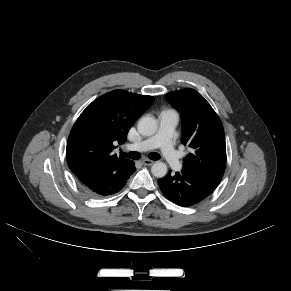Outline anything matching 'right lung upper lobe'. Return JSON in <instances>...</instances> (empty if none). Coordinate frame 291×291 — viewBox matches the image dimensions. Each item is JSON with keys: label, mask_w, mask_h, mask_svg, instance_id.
Listing matches in <instances>:
<instances>
[{"label": "right lung upper lobe", "mask_w": 291, "mask_h": 291, "mask_svg": "<svg viewBox=\"0 0 291 291\" xmlns=\"http://www.w3.org/2000/svg\"><path fill=\"white\" fill-rule=\"evenodd\" d=\"M152 96L114 90L89 104L75 122L66 148L67 163L77 174L98 162L131 160L117 157L115 144H122L135 123L153 103Z\"/></svg>", "instance_id": "obj_1"}]
</instances>
